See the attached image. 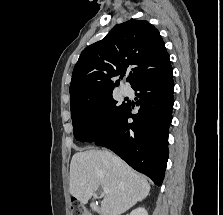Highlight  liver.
Masks as SVG:
<instances>
[{
  "instance_id": "liver-1",
  "label": "liver",
  "mask_w": 223,
  "mask_h": 215,
  "mask_svg": "<svg viewBox=\"0 0 223 215\" xmlns=\"http://www.w3.org/2000/svg\"><path fill=\"white\" fill-rule=\"evenodd\" d=\"M70 193L81 203H88L96 187H108L101 201L104 215H120L150 191L145 175L106 149H88L74 153L70 163Z\"/></svg>"
}]
</instances>
